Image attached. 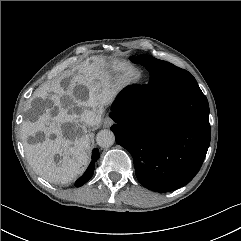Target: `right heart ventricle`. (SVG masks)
I'll return each mask as SVG.
<instances>
[{
	"label": "right heart ventricle",
	"instance_id": "obj_1",
	"mask_svg": "<svg viewBox=\"0 0 241 241\" xmlns=\"http://www.w3.org/2000/svg\"><path fill=\"white\" fill-rule=\"evenodd\" d=\"M128 67H130L129 64L120 63L115 66L114 70L116 73H123Z\"/></svg>",
	"mask_w": 241,
	"mask_h": 241
}]
</instances>
